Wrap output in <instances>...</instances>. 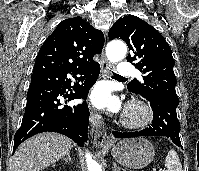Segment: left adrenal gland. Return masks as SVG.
<instances>
[{"mask_svg":"<svg viewBox=\"0 0 199 171\" xmlns=\"http://www.w3.org/2000/svg\"><path fill=\"white\" fill-rule=\"evenodd\" d=\"M120 170H121V168L119 166H117L116 162H113V170L112 171H120Z\"/></svg>","mask_w":199,"mask_h":171,"instance_id":"1","label":"left adrenal gland"}]
</instances>
